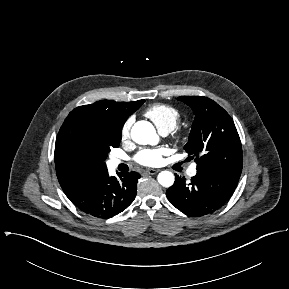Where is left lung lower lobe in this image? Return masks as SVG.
I'll use <instances>...</instances> for the list:
<instances>
[{"instance_id": "left-lung-lower-lobe-1", "label": "left lung lower lobe", "mask_w": 289, "mask_h": 289, "mask_svg": "<svg viewBox=\"0 0 289 289\" xmlns=\"http://www.w3.org/2000/svg\"><path fill=\"white\" fill-rule=\"evenodd\" d=\"M239 179L213 170H197L189 184L176 177L168 188V200L181 212L200 217L215 212L232 196Z\"/></svg>"}]
</instances>
